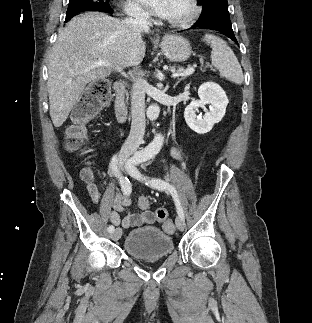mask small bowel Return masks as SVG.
Wrapping results in <instances>:
<instances>
[{
  "label": "small bowel",
  "instance_id": "obj_1",
  "mask_svg": "<svg viewBox=\"0 0 312 323\" xmlns=\"http://www.w3.org/2000/svg\"><path fill=\"white\" fill-rule=\"evenodd\" d=\"M171 154L176 159H182V154L177 149H173ZM82 181L86 185V190L93 203H98L102 199V195L95 183L94 172L91 167V163L87 161L84 167L80 171ZM130 202L117 195L111 202L112 209L108 211L107 218L113 225H122L124 228L141 227L144 225H152L156 220V214L150 210L142 213H130L127 211V207ZM125 214L124 218H121V214Z\"/></svg>",
  "mask_w": 312,
  "mask_h": 323
}]
</instances>
